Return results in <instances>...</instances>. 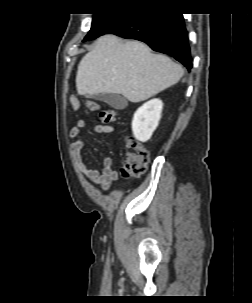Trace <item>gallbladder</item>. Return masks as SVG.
Instances as JSON below:
<instances>
[{
  "instance_id": "gallbladder-1",
  "label": "gallbladder",
  "mask_w": 252,
  "mask_h": 303,
  "mask_svg": "<svg viewBox=\"0 0 252 303\" xmlns=\"http://www.w3.org/2000/svg\"><path fill=\"white\" fill-rule=\"evenodd\" d=\"M95 99L103 101L118 110L124 109L128 104L127 99L120 94H100L95 96Z\"/></svg>"
}]
</instances>
